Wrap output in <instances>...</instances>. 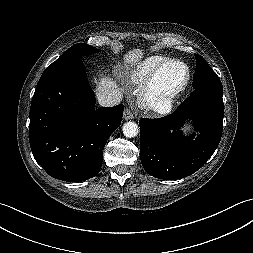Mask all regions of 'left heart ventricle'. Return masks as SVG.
<instances>
[{"instance_id":"obj_1","label":"left heart ventricle","mask_w":253,"mask_h":253,"mask_svg":"<svg viewBox=\"0 0 253 253\" xmlns=\"http://www.w3.org/2000/svg\"><path fill=\"white\" fill-rule=\"evenodd\" d=\"M185 76V70L179 65L166 66L158 78V85L160 86H174L179 84Z\"/></svg>"}]
</instances>
